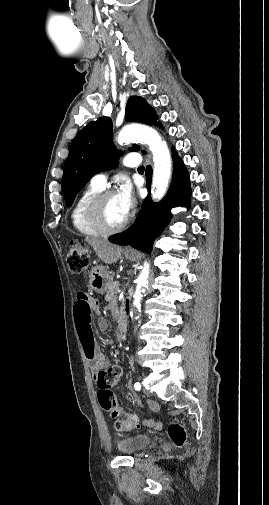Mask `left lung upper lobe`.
I'll list each match as a JSON object with an SVG mask.
<instances>
[{
    "mask_svg": "<svg viewBox=\"0 0 269 505\" xmlns=\"http://www.w3.org/2000/svg\"><path fill=\"white\" fill-rule=\"evenodd\" d=\"M125 120L152 125L156 122L154 110L145 99L131 96L126 104ZM133 145L129 150L138 151ZM119 152L113 144V126L109 117H101L86 125L72 142L64 165L62 192L70 206L76 194L95 174L116 164Z\"/></svg>",
    "mask_w": 269,
    "mask_h": 505,
    "instance_id": "left-lung-upper-lobe-1",
    "label": "left lung upper lobe"
}]
</instances>
